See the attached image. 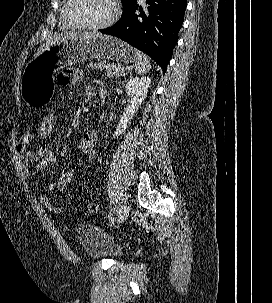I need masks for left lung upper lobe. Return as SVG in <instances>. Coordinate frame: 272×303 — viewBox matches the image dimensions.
Instances as JSON below:
<instances>
[{
    "instance_id": "obj_1",
    "label": "left lung upper lobe",
    "mask_w": 272,
    "mask_h": 303,
    "mask_svg": "<svg viewBox=\"0 0 272 303\" xmlns=\"http://www.w3.org/2000/svg\"><path fill=\"white\" fill-rule=\"evenodd\" d=\"M137 0H121L123 4V12L127 10L129 7L133 6Z\"/></svg>"
}]
</instances>
